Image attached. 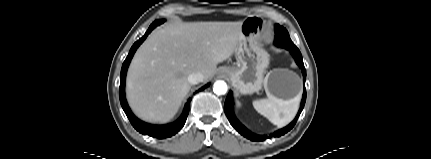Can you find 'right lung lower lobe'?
Here are the masks:
<instances>
[{
  "label": "right lung lower lobe",
  "mask_w": 431,
  "mask_h": 159,
  "mask_svg": "<svg viewBox=\"0 0 431 159\" xmlns=\"http://www.w3.org/2000/svg\"><path fill=\"white\" fill-rule=\"evenodd\" d=\"M156 26L157 25L153 22L150 25V27L148 28L145 35L142 38H140L137 42H135V44L130 49L129 54H128L126 60L124 61L123 65H122V69H121L119 97H120L121 106H122L125 114L127 115L131 124L133 125V127L137 131H139L140 133H142L144 135H149L151 137L163 139V138H167V137H171V136L175 135L184 126L186 119H187V116H188L191 98H189L187 103L185 104L184 111H183L182 115L180 116V118L178 120H176L175 122L167 124V125H151V124H148V123H145V122L139 120L131 112V110L127 104L126 98H125V78H126V72H127L128 66L130 64V61H131L136 49L140 46V44L145 40V38L148 36V34ZM207 86H209V84L200 88L199 91L204 90Z\"/></svg>",
  "instance_id": "98d812e1"
}]
</instances>
